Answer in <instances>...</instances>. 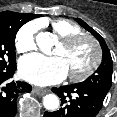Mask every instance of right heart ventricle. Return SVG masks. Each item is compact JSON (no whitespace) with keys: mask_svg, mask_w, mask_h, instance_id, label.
I'll use <instances>...</instances> for the list:
<instances>
[{"mask_svg":"<svg viewBox=\"0 0 117 117\" xmlns=\"http://www.w3.org/2000/svg\"><path fill=\"white\" fill-rule=\"evenodd\" d=\"M50 26L55 34L61 39L70 35L82 33V30L75 23L66 19H56L50 22Z\"/></svg>","mask_w":117,"mask_h":117,"instance_id":"e07e8e85","label":"right heart ventricle"}]
</instances>
